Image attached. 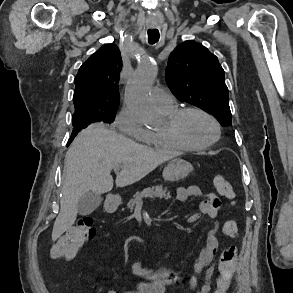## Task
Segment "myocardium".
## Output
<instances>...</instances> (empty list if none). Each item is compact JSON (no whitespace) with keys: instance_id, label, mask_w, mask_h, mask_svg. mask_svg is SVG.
Segmentation results:
<instances>
[{"instance_id":"myocardium-1","label":"myocardium","mask_w":293,"mask_h":293,"mask_svg":"<svg viewBox=\"0 0 293 293\" xmlns=\"http://www.w3.org/2000/svg\"><path fill=\"white\" fill-rule=\"evenodd\" d=\"M189 113L201 114L213 124L215 129V136L213 139L203 144H192L185 139L181 130V124L184 117ZM164 130L174 140L190 150H205L216 144L221 138V126L218 120L211 113L199 107H185L177 109L174 114L167 118V123Z\"/></svg>"}]
</instances>
